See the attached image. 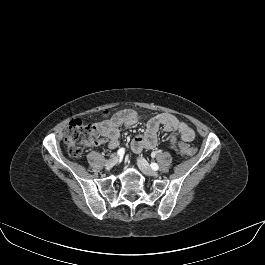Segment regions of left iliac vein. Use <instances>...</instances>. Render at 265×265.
I'll return each instance as SVG.
<instances>
[{
	"label": "left iliac vein",
	"mask_w": 265,
	"mask_h": 265,
	"mask_svg": "<svg viewBox=\"0 0 265 265\" xmlns=\"http://www.w3.org/2000/svg\"><path fill=\"white\" fill-rule=\"evenodd\" d=\"M138 166L140 168V170L147 176H157L158 173L154 170L151 169V167L149 166L148 162L140 157L137 160Z\"/></svg>",
	"instance_id": "left-iliac-vein-1"
}]
</instances>
